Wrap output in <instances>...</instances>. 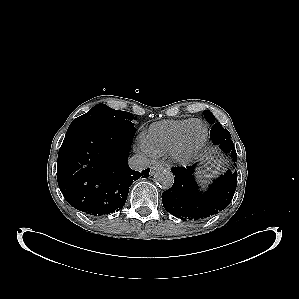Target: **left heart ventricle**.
Wrapping results in <instances>:
<instances>
[{
    "label": "left heart ventricle",
    "instance_id": "b2bd125f",
    "mask_svg": "<svg viewBox=\"0 0 299 299\" xmlns=\"http://www.w3.org/2000/svg\"><path fill=\"white\" fill-rule=\"evenodd\" d=\"M204 136V127L200 123H193L188 128L184 138V149L185 151H192L202 141Z\"/></svg>",
    "mask_w": 299,
    "mask_h": 299
}]
</instances>
